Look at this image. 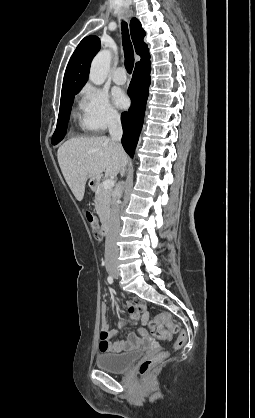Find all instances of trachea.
Listing matches in <instances>:
<instances>
[{
	"mask_svg": "<svg viewBox=\"0 0 255 418\" xmlns=\"http://www.w3.org/2000/svg\"><path fill=\"white\" fill-rule=\"evenodd\" d=\"M122 40L125 56V68L129 74L132 73L134 67V51L130 41L127 23H122Z\"/></svg>",
	"mask_w": 255,
	"mask_h": 418,
	"instance_id": "3493384b",
	"label": "trachea"
}]
</instances>
